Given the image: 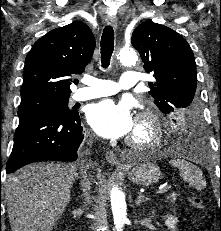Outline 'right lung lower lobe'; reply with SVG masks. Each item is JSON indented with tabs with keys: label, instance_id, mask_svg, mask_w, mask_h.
Instances as JSON below:
<instances>
[{
	"label": "right lung lower lobe",
	"instance_id": "98d812e1",
	"mask_svg": "<svg viewBox=\"0 0 221 231\" xmlns=\"http://www.w3.org/2000/svg\"><path fill=\"white\" fill-rule=\"evenodd\" d=\"M80 116L50 109L36 110L19 117L14 145L6 173L37 161H74L83 140Z\"/></svg>",
	"mask_w": 221,
	"mask_h": 231
}]
</instances>
